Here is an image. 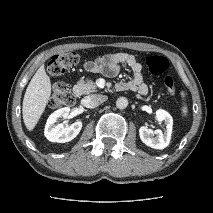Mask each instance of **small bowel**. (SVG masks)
<instances>
[{
  "instance_id": "c3829d8e",
  "label": "small bowel",
  "mask_w": 213,
  "mask_h": 213,
  "mask_svg": "<svg viewBox=\"0 0 213 213\" xmlns=\"http://www.w3.org/2000/svg\"><path fill=\"white\" fill-rule=\"evenodd\" d=\"M123 65H127L133 72V78L129 81H120L116 87L118 90H130L141 95L148 93V86L142 75V65L129 53H116L96 60L87 61L84 68L94 73H103L106 76H115Z\"/></svg>"
}]
</instances>
